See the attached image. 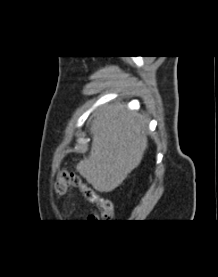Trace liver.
<instances>
[{"mask_svg":"<svg viewBox=\"0 0 218 277\" xmlns=\"http://www.w3.org/2000/svg\"><path fill=\"white\" fill-rule=\"evenodd\" d=\"M92 146L76 170L99 192H111L139 166L147 149V126L123 105H109L90 124Z\"/></svg>","mask_w":218,"mask_h":277,"instance_id":"1","label":"liver"}]
</instances>
